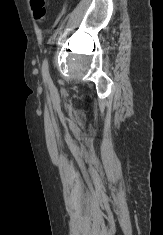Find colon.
<instances>
[{"label":"colon","mask_w":163,"mask_h":235,"mask_svg":"<svg viewBox=\"0 0 163 235\" xmlns=\"http://www.w3.org/2000/svg\"><path fill=\"white\" fill-rule=\"evenodd\" d=\"M34 17L39 22H43L46 17V0H30Z\"/></svg>","instance_id":"1"}]
</instances>
